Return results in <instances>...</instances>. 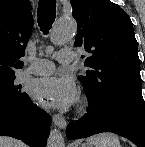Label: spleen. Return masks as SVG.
Instances as JSON below:
<instances>
[{
    "mask_svg": "<svg viewBox=\"0 0 145 147\" xmlns=\"http://www.w3.org/2000/svg\"><path fill=\"white\" fill-rule=\"evenodd\" d=\"M94 147H121L119 138L111 133H102L87 140Z\"/></svg>",
    "mask_w": 145,
    "mask_h": 147,
    "instance_id": "spleen-1",
    "label": "spleen"
}]
</instances>
